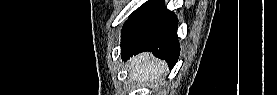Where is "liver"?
Returning a JSON list of instances; mask_svg holds the SVG:
<instances>
[{"instance_id": "6515ba94", "label": "liver", "mask_w": 277, "mask_h": 95, "mask_svg": "<svg viewBox=\"0 0 277 95\" xmlns=\"http://www.w3.org/2000/svg\"><path fill=\"white\" fill-rule=\"evenodd\" d=\"M166 70L167 64L148 52L137 55L129 62V77L139 83H157Z\"/></svg>"}]
</instances>
